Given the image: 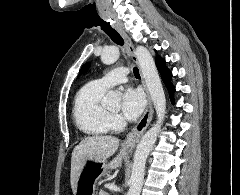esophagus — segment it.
I'll list each match as a JSON object with an SVG mask.
<instances>
[{
  "mask_svg": "<svg viewBox=\"0 0 240 195\" xmlns=\"http://www.w3.org/2000/svg\"><path fill=\"white\" fill-rule=\"evenodd\" d=\"M113 27L123 37V39L126 43L128 52L130 53L133 61L138 65V60H137V57L135 54V49H134L131 39L128 37L127 33L123 30L121 25L113 24ZM143 86H144V90L146 92V98H147L146 106H145L144 112L142 114V117L140 118L138 123L135 125V127L132 128V130L127 134V136L125 138L124 146L127 148L135 147V145L139 141L140 137H142L143 133L146 131V129L148 128V126L150 125V123L152 121V117H153V113H154L152 99H151L148 88H147L146 84L144 83V81H143Z\"/></svg>",
  "mask_w": 240,
  "mask_h": 195,
  "instance_id": "34e87169",
  "label": "esophagus"
}]
</instances>
